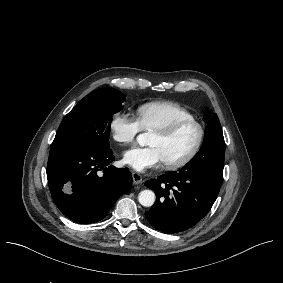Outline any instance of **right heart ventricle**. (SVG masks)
I'll return each mask as SVG.
<instances>
[{
	"label": "right heart ventricle",
	"mask_w": 283,
	"mask_h": 283,
	"mask_svg": "<svg viewBox=\"0 0 283 283\" xmlns=\"http://www.w3.org/2000/svg\"><path fill=\"white\" fill-rule=\"evenodd\" d=\"M135 112L143 130L162 131L180 118H191L193 115L180 105L169 101H152L140 104Z\"/></svg>",
	"instance_id": "obj_1"
}]
</instances>
